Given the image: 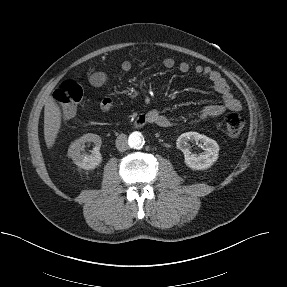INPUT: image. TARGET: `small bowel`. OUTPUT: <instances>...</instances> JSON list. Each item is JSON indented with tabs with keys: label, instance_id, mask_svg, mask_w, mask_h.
I'll return each instance as SVG.
<instances>
[{
	"label": "small bowel",
	"instance_id": "small-bowel-1",
	"mask_svg": "<svg viewBox=\"0 0 287 287\" xmlns=\"http://www.w3.org/2000/svg\"><path fill=\"white\" fill-rule=\"evenodd\" d=\"M162 66L166 69H172L176 66V62L171 57H165L162 60ZM177 67L181 73H188L192 69L191 65L185 61L180 62ZM120 68L122 71L128 72L131 70L132 64L130 61L125 60L121 63ZM193 71L211 81L214 89L221 95L222 98V102L220 104L204 106L197 114L196 121L215 119L222 116L226 111H239L241 109L240 101L232 94L229 85L219 71L209 66L202 65L194 66ZM108 80L109 75L105 70H97L89 75V83L93 87H102L107 84ZM113 106V101L109 97L103 98L100 103V109L103 113H110ZM146 115L150 118V123L160 127H170L174 124V120L172 118L158 109H153Z\"/></svg>",
	"mask_w": 287,
	"mask_h": 287
}]
</instances>
